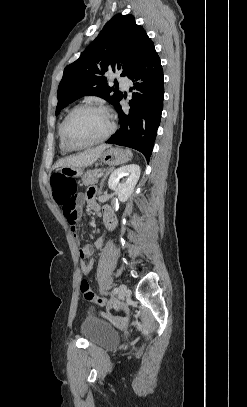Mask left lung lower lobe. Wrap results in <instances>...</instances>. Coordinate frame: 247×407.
<instances>
[{
    "mask_svg": "<svg viewBox=\"0 0 247 407\" xmlns=\"http://www.w3.org/2000/svg\"><path fill=\"white\" fill-rule=\"evenodd\" d=\"M129 79L134 82L130 90L138 92L133 93L128 112L122 110L119 102L115 106L121 126L106 143L136 149L149 160L161 121L164 96L163 71L155 49Z\"/></svg>",
    "mask_w": 247,
    "mask_h": 407,
    "instance_id": "obj_1",
    "label": "left lung lower lobe"
}]
</instances>
